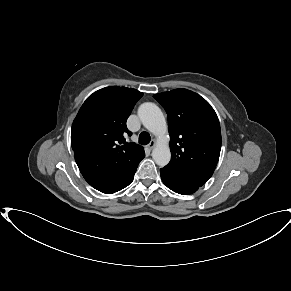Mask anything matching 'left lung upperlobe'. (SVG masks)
Instances as JSON below:
<instances>
[{
    "mask_svg": "<svg viewBox=\"0 0 291 291\" xmlns=\"http://www.w3.org/2000/svg\"><path fill=\"white\" fill-rule=\"evenodd\" d=\"M154 98L168 115L171 160L165 168L202 186L212 176L221 150L215 111L187 89L155 94Z\"/></svg>",
    "mask_w": 291,
    "mask_h": 291,
    "instance_id": "left-lung-upper-lobe-1",
    "label": "left lung upper lobe"
}]
</instances>
